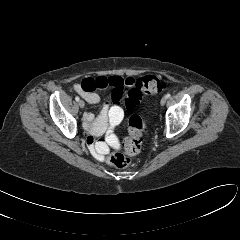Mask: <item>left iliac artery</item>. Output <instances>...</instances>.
I'll use <instances>...</instances> for the list:
<instances>
[{"label": "left iliac artery", "instance_id": "1", "mask_svg": "<svg viewBox=\"0 0 240 240\" xmlns=\"http://www.w3.org/2000/svg\"><path fill=\"white\" fill-rule=\"evenodd\" d=\"M165 97L168 99V98L171 97V94H170V93H167V94L165 95Z\"/></svg>", "mask_w": 240, "mask_h": 240}]
</instances>
